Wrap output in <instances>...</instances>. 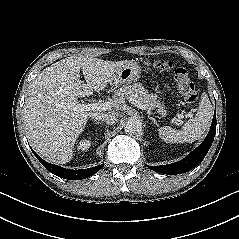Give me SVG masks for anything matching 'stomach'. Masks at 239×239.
<instances>
[{"mask_svg": "<svg viewBox=\"0 0 239 239\" xmlns=\"http://www.w3.org/2000/svg\"><path fill=\"white\" fill-rule=\"evenodd\" d=\"M140 72H141V69L138 62L134 60L127 61L114 74L113 79L110 82V85L112 87H119V86L128 84L132 81H136L140 76ZM154 107L158 109V113L161 116L166 115V110L162 103H160L159 101H156L154 103Z\"/></svg>", "mask_w": 239, "mask_h": 239, "instance_id": "stomach-1", "label": "stomach"}]
</instances>
